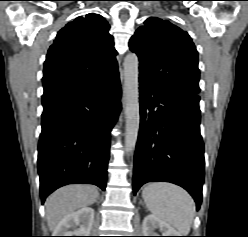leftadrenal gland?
Returning <instances> with one entry per match:
<instances>
[{"instance_id": "left-adrenal-gland-1", "label": "left adrenal gland", "mask_w": 248, "mask_h": 237, "mask_svg": "<svg viewBox=\"0 0 248 237\" xmlns=\"http://www.w3.org/2000/svg\"><path fill=\"white\" fill-rule=\"evenodd\" d=\"M140 204H143V202H142V200H140V202H139Z\"/></svg>"}]
</instances>
